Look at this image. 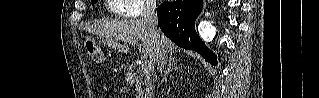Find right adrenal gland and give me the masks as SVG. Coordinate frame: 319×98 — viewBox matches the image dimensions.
Segmentation results:
<instances>
[{"instance_id":"obj_1","label":"right adrenal gland","mask_w":319,"mask_h":98,"mask_svg":"<svg viewBox=\"0 0 319 98\" xmlns=\"http://www.w3.org/2000/svg\"><path fill=\"white\" fill-rule=\"evenodd\" d=\"M173 63H174V66H173ZM177 62L175 61V58L172 56V53L170 54V57H169V64H168V69L167 71L165 72V75L163 77V80H165L168 76V74L173 70V69H176L178 68V66H176Z\"/></svg>"}]
</instances>
